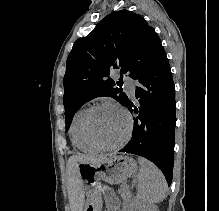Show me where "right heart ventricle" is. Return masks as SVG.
I'll use <instances>...</instances> for the list:
<instances>
[{"label": "right heart ventricle", "mask_w": 219, "mask_h": 211, "mask_svg": "<svg viewBox=\"0 0 219 211\" xmlns=\"http://www.w3.org/2000/svg\"><path fill=\"white\" fill-rule=\"evenodd\" d=\"M87 109L88 108L86 107L80 108L73 115L71 126H70V136H71V141L75 147H77L78 149L84 152L95 153L99 149L93 146L92 144H90L86 140L82 129L83 117Z\"/></svg>", "instance_id": "e07e8e85"}]
</instances>
